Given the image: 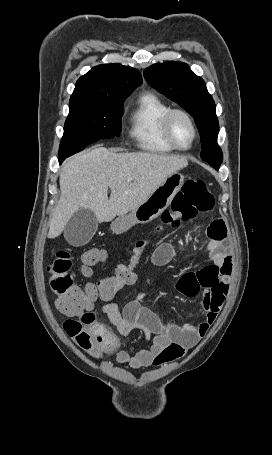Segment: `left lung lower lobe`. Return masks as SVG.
I'll use <instances>...</instances> for the list:
<instances>
[{
    "instance_id": "obj_1",
    "label": "left lung lower lobe",
    "mask_w": 272,
    "mask_h": 455,
    "mask_svg": "<svg viewBox=\"0 0 272 455\" xmlns=\"http://www.w3.org/2000/svg\"><path fill=\"white\" fill-rule=\"evenodd\" d=\"M211 166H212V165H211ZM212 167L215 168V169H218V168H219L217 165H213Z\"/></svg>"
}]
</instances>
